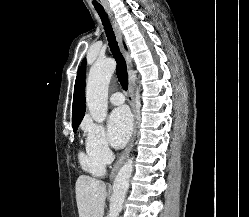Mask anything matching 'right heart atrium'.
Segmentation results:
<instances>
[{
  "label": "right heart atrium",
  "instance_id": "1",
  "mask_svg": "<svg viewBox=\"0 0 249 217\" xmlns=\"http://www.w3.org/2000/svg\"><path fill=\"white\" fill-rule=\"evenodd\" d=\"M83 129L88 154L103 165L110 163L113 153L103 125L87 119L83 124Z\"/></svg>",
  "mask_w": 249,
  "mask_h": 217
}]
</instances>
